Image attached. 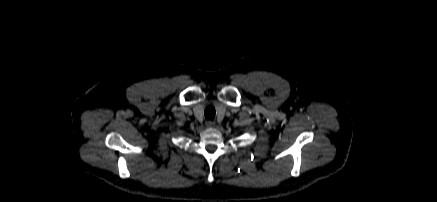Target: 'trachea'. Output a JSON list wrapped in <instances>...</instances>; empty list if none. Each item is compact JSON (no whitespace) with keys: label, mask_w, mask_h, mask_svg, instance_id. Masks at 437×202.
I'll list each match as a JSON object with an SVG mask.
<instances>
[{"label":"trachea","mask_w":437,"mask_h":202,"mask_svg":"<svg viewBox=\"0 0 437 202\" xmlns=\"http://www.w3.org/2000/svg\"><path fill=\"white\" fill-rule=\"evenodd\" d=\"M205 114H206V117H207V118L213 119V117H214V115H215V111H214L213 108H208V109L206 110Z\"/></svg>","instance_id":"trachea-1"}]
</instances>
